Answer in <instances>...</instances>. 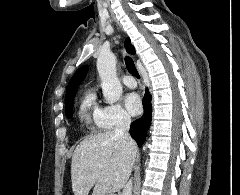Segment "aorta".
Listing matches in <instances>:
<instances>
[{"mask_svg": "<svg viewBox=\"0 0 240 195\" xmlns=\"http://www.w3.org/2000/svg\"><path fill=\"white\" fill-rule=\"evenodd\" d=\"M97 72L100 76L103 96L108 103H115L122 96V86L117 78L116 56L102 52L97 58Z\"/></svg>", "mask_w": 240, "mask_h": 195, "instance_id": "obj_1", "label": "aorta"}]
</instances>
